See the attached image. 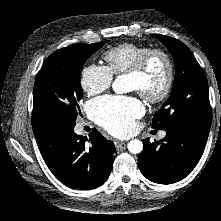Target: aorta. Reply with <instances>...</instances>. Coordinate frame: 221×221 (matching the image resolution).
I'll use <instances>...</instances> for the list:
<instances>
[{"instance_id": "1", "label": "aorta", "mask_w": 221, "mask_h": 221, "mask_svg": "<svg viewBox=\"0 0 221 221\" xmlns=\"http://www.w3.org/2000/svg\"><path fill=\"white\" fill-rule=\"evenodd\" d=\"M112 88L115 93L122 94L126 92V86L124 84L123 76H118L112 84ZM128 151L132 154L141 153L143 150V143L138 139H133L127 144Z\"/></svg>"}]
</instances>
